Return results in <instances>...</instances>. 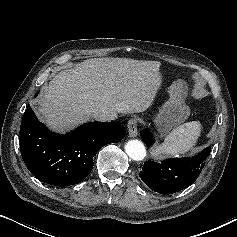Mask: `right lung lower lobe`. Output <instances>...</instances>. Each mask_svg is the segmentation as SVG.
<instances>
[{
	"mask_svg": "<svg viewBox=\"0 0 237 237\" xmlns=\"http://www.w3.org/2000/svg\"><path fill=\"white\" fill-rule=\"evenodd\" d=\"M125 133L117 122H90L66 135L56 134L38 121L28 105L19 144L25 165L37 179L69 186L83 181L93 168L96 153L106 144L120 142Z\"/></svg>",
	"mask_w": 237,
	"mask_h": 237,
	"instance_id": "1",
	"label": "right lung lower lobe"
}]
</instances>
